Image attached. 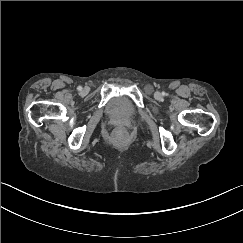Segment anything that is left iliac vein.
Listing matches in <instances>:
<instances>
[{
  "label": "left iliac vein",
  "instance_id": "left-iliac-vein-1",
  "mask_svg": "<svg viewBox=\"0 0 243 243\" xmlns=\"http://www.w3.org/2000/svg\"><path fill=\"white\" fill-rule=\"evenodd\" d=\"M154 96H155L156 99H160V98H161V93L156 92V93L154 94Z\"/></svg>",
  "mask_w": 243,
  "mask_h": 243
}]
</instances>
